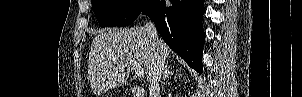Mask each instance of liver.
<instances>
[{
    "label": "liver",
    "mask_w": 302,
    "mask_h": 97,
    "mask_svg": "<svg viewBox=\"0 0 302 97\" xmlns=\"http://www.w3.org/2000/svg\"><path fill=\"white\" fill-rule=\"evenodd\" d=\"M161 40V39H160ZM162 41L165 58L171 49ZM135 59L149 80L155 63V48L146 26L130 29H103L93 39L88 63V80L95 95L126 83L129 63Z\"/></svg>",
    "instance_id": "6515ba94"
}]
</instances>
